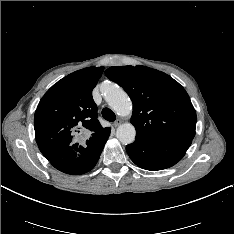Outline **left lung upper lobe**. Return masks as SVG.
Returning <instances> with one entry per match:
<instances>
[{
    "instance_id": "5c2ea615",
    "label": "left lung upper lobe",
    "mask_w": 234,
    "mask_h": 234,
    "mask_svg": "<svg viewBox=\"0 0 234 234\" xmlns=\"http://www.w3.org/2000/svg\"><path fill=\"white\" fill-rule=\"evenodd\" d=\"M105 74L132 100L136 138H194L195 109L172 77L145 66H113Z\"/></svg>"
}]
</instances>
